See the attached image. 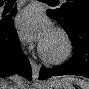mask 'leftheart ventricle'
<instances>
[{
  "label": "left heart ventricle",
  "instance_id": "obj_1",
  "mask_svg": "<svg viewBox=\"0 0 89 89\" xmlns=\"http://www.w3.org/2000/svg\"><path fill=\"white\" fill-rule=\"evenodd\" d=\"M43 45L46 51L52 56L59 55L63 50V41L61 37L55 33H52Z\"/></svg>",
  "mask_w": 89,
  "mask_h": 89
}]
</instances>
